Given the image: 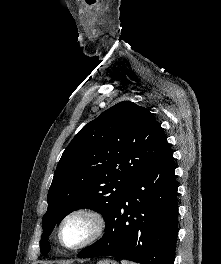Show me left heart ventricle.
Here are the masks:
<instances>
[{
	"label": "left heart ventricle",
	"mask_w": 221,
	"mask_h": 264,
	"mask_svg": "<svg viewBox=\"0 0 221 264\" xmlns=\"http://www.w3.org/2000/svg\"><path fill=\"white\" fill-rule=\"evenodd\" d=\"M92 232V223L84 217L69 220L62 231L63 242L68 246H75L85 241Z\"/></svg>",
	"instance_id": "obj_1"
}]
</instances>
